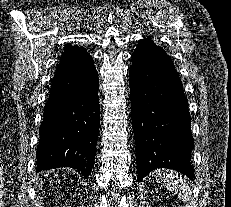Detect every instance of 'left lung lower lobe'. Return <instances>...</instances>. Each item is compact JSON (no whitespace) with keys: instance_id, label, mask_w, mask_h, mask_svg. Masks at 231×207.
<instances>
[{"instance_id":"left-lung-lower-lobe-1","label":"left lung lower lobe","mask_w":231,"mask_h":207,"mask_svg":"<svg viewBox=\"0 0 231 207\" xmlns=\"http://www.w3.org/2000/svg\"><path fill=\"white\" fill-rule=\"evenodd\" d=\"M130 68L131 113L138 178L157 168L195 178L191 117L171 58L150 39H141Z\"/></svg>"}]
</instances>
